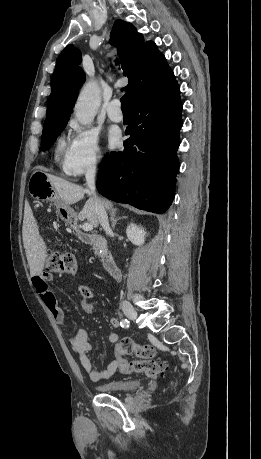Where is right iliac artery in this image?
<instances>
[{"label": "right iliac artery", "mask_w": 261, "mask_h": 459, "mask_svg": "<svg viewBox=\"0 0 261 459\" xmlns=\"http://www.w3.org/2000/svg\"><path fill=\"white\" fill-rule=\"evenodd\" d=\"M120 325H121V327H123V328H127V327H129V321H128L127 319H122V320L120 321Z\"/></svg>", "instance_id": "82829eb1"}]
</instances>
